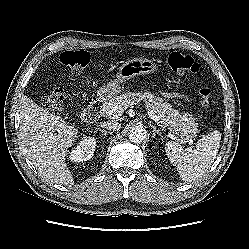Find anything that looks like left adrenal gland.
<instances>
[{
	"label": "left adrenal gland",
	"mask_w": 249,
	"mask_h": 249,
	"mask_svg": "<svg viewBox=\"0 0 249 249\" xmlns=\"http://www.w3.org/2000/svg\"><path fill=\"white\" fill-rule=\"evenodd\" d=\"M149 125L153 129V137L154 138H155L156 134L161 135V132L159 130H157V128L154 125H152V124H149Z\"/></svg>",
	"instance_id": "1"
}]
</instances>
